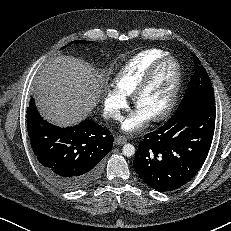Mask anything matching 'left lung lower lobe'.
I'll return each instance as SVG.
<instances>
[{
	"mask_svg": "<svg viewBox=\"0 0 231 231\" xmlns=\"http://www.w3.org/2000/svg\"><path fill=\"white\" fill-rule=\"evenodd\" d=\"M216 107L191 105L178 111L160 129L145 136L133 167L159 192L185 185L199 171L210 150Z\"/></svg>",
	"mask_w": 231,
	"mask_h": 231,
	"instance_id": "0a47b994",
	"label": "left lung lower lobe"
}]
</instances>
